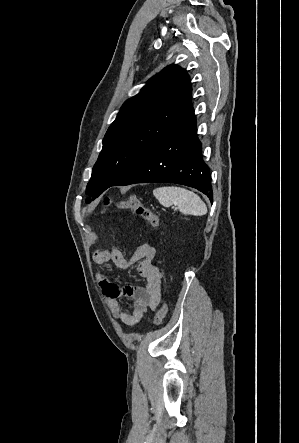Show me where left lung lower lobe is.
Here are the masks:
<instances>
[{
  "mask_svg": "<svg viewBox=\"0 0 299 443\" xmlns=\"http://www.w3.org/2000/svg\"><path fill=\"white\" fill-rule=\"evenodd\" d=\"M194 110L154 144L111 186L169 182L213 196L209 168L203 162Z\"/></svg>",
  "mask_w": 299,
  "mask_h": 443,
  "instance_id": "1",
  "label": "left lung lower lobe"
}]
</instances>
